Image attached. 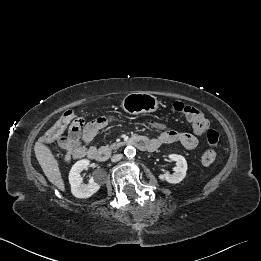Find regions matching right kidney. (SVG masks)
Listing matches in <instances>:
<instances>
[{"label": "right kidney", "instance_id": "1", "mask_svg": "<svg viewBox=\"0 0 261 261\" xmlns=\"http://www.w3.org/2000/svg\"><path fill=\"white\" fill-rule=\"evenodd\" d=\"M90 162L87 159L77 161L71 168L69 173V182L71 185V192L76 198H89L95 194L103 181L98 177H92L89 184L82 183L81 172L87 169Z\"/></svg>", "mask_w": 261, "mask_h": 261}]
</instances>
